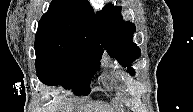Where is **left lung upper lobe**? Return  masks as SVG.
Listing matches in <instances>:
<instances>
[{
	"instance_id": "left-lung-upper-lobe-1",
	"label": "left lung upper lobe",
	"mask_w": 193,
	"mask_h": 112,
	"mask_svg": "<svg viewBox=\"0 0 193 112\" xmlns=\"http://www.w3.org/2000/svg\"><path fill=\"white\" fill-rule=\"evenodd\" d=\"M96 18L102 46L110 56L119 60L120 64L134 75L130 63L141 55L139 47L132 42L135 25L123 21L121 7L112 4L105 5L102 11L97 13Z\"/></svg>"
}]
</instances>
